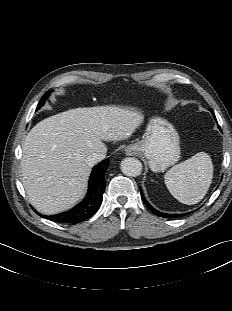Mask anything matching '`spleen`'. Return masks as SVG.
Segmentation results:
<instances>
[{"label": "spleen", "mask_w": 232, "mask_h": 311, "mask_svg": "<svg viewBox=\"0 0 232 311\" xmlns=\"http://www.w3.org/2000/svg\"><path fill=\"white\" fill-rule=\"evenodd\" d=\"M212 178L211 158L207 153L199 152L168 170L164 182L179 202L192 205L204 198Z\"/></svg>", "instance_id": "3e777b00"}]
</instances>
